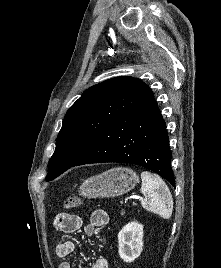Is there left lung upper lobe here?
<instances>
[{
    "label": "left lung upper lobe",
    "mask_w": 221,
    "mask_h": 268,
    "mask_svg": "<svg viewBox=\"0 0 221 268\" xmlns=\"http://www.w3.org/2000/svg\"><path fill=\"white\" fill-rule=\"evenodd\" d=\"M154 96L139 79L122 76L87 89L67 111L46 181L68 170L117 118Z\"/></svg>",
    "instance_id": "left-lung-upper-lobe-1"
}]
</instances>
